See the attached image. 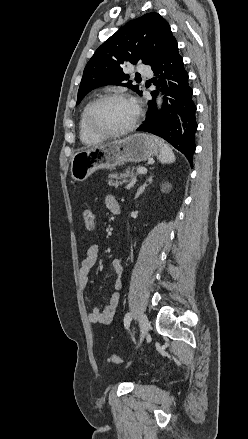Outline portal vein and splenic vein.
<instances>
[{
	"label": "portal vein and splenic vein",
	"instance_id": "portal-vein-and-splenic-vein-1",
	"mask_svg": "<svg viewBox=\"0 0 248 439\" xmlns=\"http://www.w3.org/2000/svg\"><path fill=\"white\" fill-rule=\"evenodd\" d=\"M137 173L138 174H146L147 173V169L144 167H140L137 169ZM136 183V178L134 180H132L128 185H127V189H130L134 184Z\"/></svg>",
	"mask_w": 248,
	"mask_h": 439
}]
</instances>
